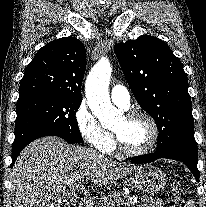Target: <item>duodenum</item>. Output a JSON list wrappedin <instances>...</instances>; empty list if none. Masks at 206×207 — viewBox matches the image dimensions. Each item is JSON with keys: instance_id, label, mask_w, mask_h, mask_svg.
Instances as JSON below:
<instances>
[{"instance_id": "410a0bca", "label": "duodenum", "mask_w": 206, "mask_h": 207, "mask_svg": "<svg viewBox=\"0 0 206 207\" xmlns=\"http://www.w3.org/2000/svg\"><path fill=\"white\" fill-rule=\"evenodd\" d=\"M76 207H83V206H82V205H80V204H77V205H76Z\"/></svg>"}]
</instances>
